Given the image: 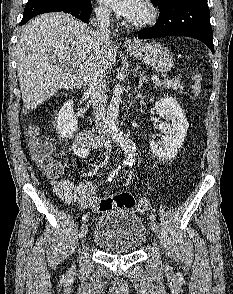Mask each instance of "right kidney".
I'll return each mask as SVG.
<instances>
[{
	"label": "right kidney",
	"mask_w": 233,
	"mask_h": 294,
	"mask_svg": "<svg viewBox=\"0 0 233 294\" xmlns=\"http://www.w3.org/2000/svg\"><path fill=\"white\" fill-rule=\"evenodd\" d=\"M74 101L68 100L61 107L57 117V130L61 138H71L78 128V121L74 116Z\"/></svg>",
	"instance_id": "ca27d5eb"
}]
</instances>
